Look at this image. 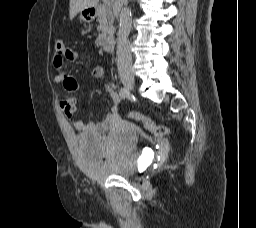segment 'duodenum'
I'll return each mask as SVG.
<instances>
[{
    "instance_id": "1",
    "label": "duodenum",
    "mask_w": 256,
    "mask_h": 228,
    "mask_svg": "<svg viewBox=\"0 0 256 228\" xmlns=\"http://www.w3.org/2000/svg\"><path fill=\"white\" fill-rule=\"evenodd\" d=\"M98 6L97 5H92L88 9V13L90 16L95 17L98 13ZM98 42L100 46L106 50V51H112L114 48V37L111 33H103L99 36Z\"/></svg>"
}]
</instances>
